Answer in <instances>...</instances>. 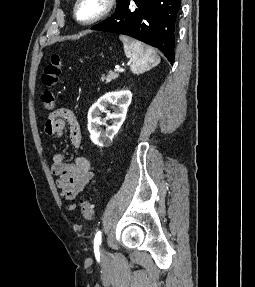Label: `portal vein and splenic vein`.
<instances>
[{
	"instance_id": "1",
	"label": "portal vein and splenic vein",
	"mask_w": 255,
	"mask_h": 287,
	"mask_svg": "<svg viewBox=\"0 0 255 287\" xmlns=\"http://www.w3.org/2000/svg\"><path fill=\"white\" fill-rule=\"evenodd\" d=\"M116 72H125L124 68H120V66H116Z\"/></svg>"
}]
</instances>
